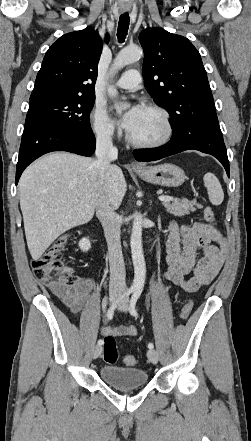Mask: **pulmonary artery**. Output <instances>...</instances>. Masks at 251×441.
Listing matches in <instances>:
<instances>
[{
  "mask_svg": "<svg viewBox=\"0 0 251 441\" xmlns=\"http://www.w3.org/2000/svg\"><path fill=\"white\" fill-rule=\"evenodd\" d=\"M141 82L140 73L137 70L126 71L117 81L116 85L125 90L135 89Z\"/></svg>",
  "mask_w": 251,
  "mask_h": 441,
  "instance_id": "e3ab8cb5",
  "label": "pulmonary artery"
}]
</instances>
